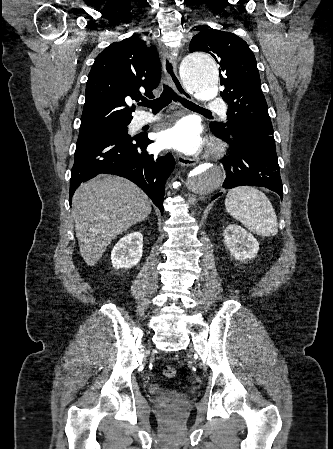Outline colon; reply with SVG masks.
I'll list each match as a JSON object with an SVG mask.
<instances>
[{"mask_svg":"<svg viewBox=\"0 0 333 449\" xmlns=\"http://www.w3.org/2000/svg\"><path fill=\"white\" fill-rule=\"evenodd\" d=\"M163 374L167 378H173L176 375V369L172 365H165L163 367Z\"/></svg>","mask_w":333,"mask_h":449,"instance_id":"obj_1","label":"colon"}]
</instances>
